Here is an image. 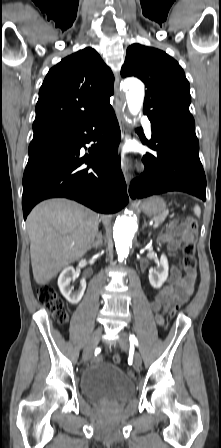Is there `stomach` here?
I'll return each mask as SVG.
<instances>
[{"label": "stomach", "instance_id": "1", "mask_svg": "<svg viewBox=\"0 0 221 448\" xmlns=\"http://www.w3.org/2000/svg\"><path fill=\"white\" fill-rule=\"evenodd\" d=\"M138 208L149 216H159L167 213L164 200L157 196L150 197L139 203Z\"/></svg>", "mask_w": 221, "mask_h": 448}]
</instances>
